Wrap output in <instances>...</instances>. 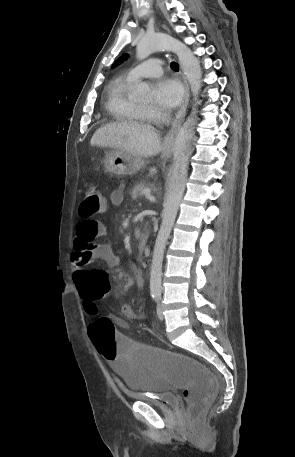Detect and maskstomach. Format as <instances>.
<instances>
[{"instance_id": "1", "label": "stomach", "mask_w": 295, "mask_h": 457, "mask_svg": "<svg viewBox=\"0 0 295 457\" xmlns=\"http://www.w3.org/2000/svg\"><path fill=\"white\" fill-rule=\"evenodd\" d=\"M104 166L107 172L116 175H132L144 166V161L131 153L115 149L106 152Z\"/></svg>"}]
</instances>
